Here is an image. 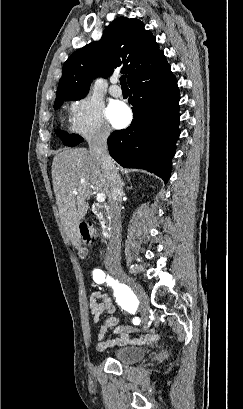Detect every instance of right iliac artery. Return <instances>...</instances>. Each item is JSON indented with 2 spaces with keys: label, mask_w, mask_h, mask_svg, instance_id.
<instances>
[{
  "label": "right iliac artery",
  "mask_w": 243,
  "mask_h": 409,
  "mask_svg": "<svg viewBox=\"0 0 243 409\" xmlns=\"http://www.w3.org/2000/svg\"><path fill=\"white\" fill-rule=\"evenodd\" d=\"M93 279L96 283H104L106 281L107 284L113 288L114 295L118 303L127 311L131 313L135 312L139 302L129 287L124 284H120L118 280H114L100 269H95L93 271ZM132 322L135 325H138L140 323V319L135 317Z\"/></svg>",
  "instance_id": "82829eb1"
}]
</instances>
